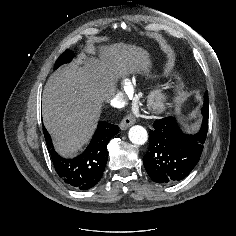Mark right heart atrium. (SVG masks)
I'll return each instance as SVG.
<instances>
[{
  "mask_svg": "<svg viewBox=\"0 0 236 236\" xmlns=\"http://www.w3.org/2000/svg\"><path fill=\"white\" fill-rule=\"evenodd\" d=\"M121 87H122V89L127 91L130 88L129 81L127 79L122 80Z\"/></svg>",
  "mask_w": 236,
  "mask_h": 236,
  "instance_id": "d8ad5b80",
  "label": "right heart atrium"
}]
</instances>
